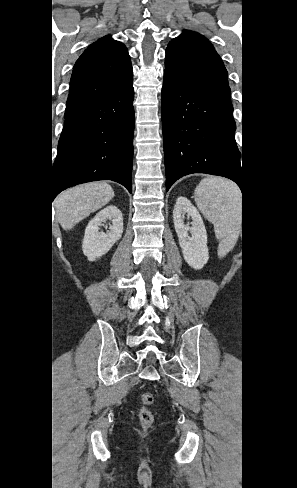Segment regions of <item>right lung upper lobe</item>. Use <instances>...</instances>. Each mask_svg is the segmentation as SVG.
Instances as JSON below:
<instances>
[{"mask_svg":"<svg viewBox=\"0 0 297 488\" xmlns=\"http://www.w3.org/2000/svg\"><path fill=\"white\" fill-rule=\"evenodd\" d=\"M132 74L125 45L111 36L99 39L74 65L65 113L99 97Z\"/></svg>","mask_w":297,"mask_h":488,"instance_id":"obj_1","label":"right lung upper lobe"}]
</instances>
